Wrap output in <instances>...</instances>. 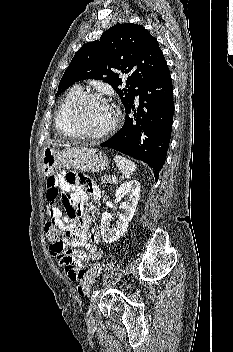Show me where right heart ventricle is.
<instances>
[{
  "mask_svg": "<svg viewBox=\"0 0 233 352\" xmlns=\"http://www.w3.org/2000/svg\"><path fill=\"white\" fill-rule=\"evenodd\" d=\"M81 93L82 89L79 86L71 88L62 99L58 107L55 118V125L57 130L66 137H74L68 126L67 115L71 104Z\"/></svg>",
  "mask_w": 233,
  "mask_h": 352,
  "instance_id": "obj_1",
  "label": "right heart ventricle"
}]
</instances>
